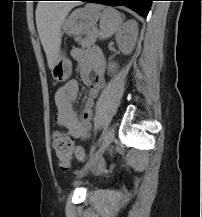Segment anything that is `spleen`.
Masks as SVG:
<instances>
[{"label":"spleen","instance_id":"obj_1","mask_svg":"<svg viewBox=\"0 0 202 217\" xmlns=\"http://www.w3.org/2000/svg\"><path fill=\"white\" fill-rule=\"evenodd\" d=\"M88 6L97 10H102L100 20V37L102 39L110 37L119 29L122 24V18L117 10L111 7H104L101 5Z\"/></svg>","mask_w":202,"mask_h":217}]
</instances>
